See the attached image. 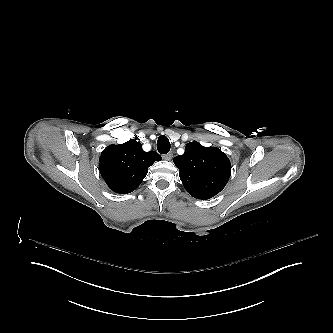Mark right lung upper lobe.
Segmentation results:
<instances>
[{
    "label": "right lung upper lobe",
    "mask_w": 333,
    "mask_h": 333,
    "mask_svg": "<svg viewBox=\"0 0 333 333\" xmlns=\"http://www.w3.org/2000/svg\"><path fill=\"white\" fill-rule=\"evenodd\" d=\"M159 160L158 153L143 151L141 143L132 139L106 147L99 158V170L112 191L127 194L141 184L148 168Z\"/></svg>",
    "instance_id": "cb5924a9"
}]
</instances>
